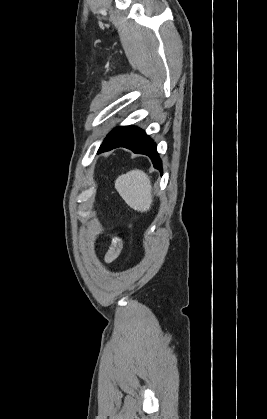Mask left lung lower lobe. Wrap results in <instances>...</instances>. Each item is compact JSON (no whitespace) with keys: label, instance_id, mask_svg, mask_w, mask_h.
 Returning <instances> with one entry per match:
<instances>
[{"label":"left lung lower lobe","instance_id":"obj_1","mask_svg":"<svg viewBox=\"0 0 267 419\" xmlns=\"http://www.w3.org/2000/svg\"><path fill=\"white\" fill-rule=\"evenodd\" d=\"M118 147H125L132 150L134 153L149 156L154 167L162 171V163L156 149V144L140 128L134 126L115 128L104 139L98 153Z\"/></svg>","mask_w":267,"mask_h":419}]
</instances>
